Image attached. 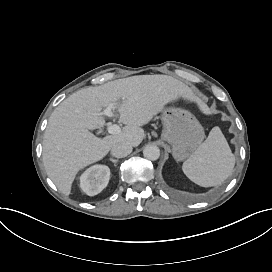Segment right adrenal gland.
<instances>
[{"instance_id":"obj_1","label":"right adrenal gland","mask_w":272,"mask_h":272,"mask_svg":"<svg viewBox=\"0 0 272 272\" xmlns=\"http://www.w3.org/2000/svg\"><path fill=\"white\" fill-rule=\"evenodd\" d=\"M110 161L113 162V163H117V162H118V159L110 158Z\"/></svg>"}]
</instances>
